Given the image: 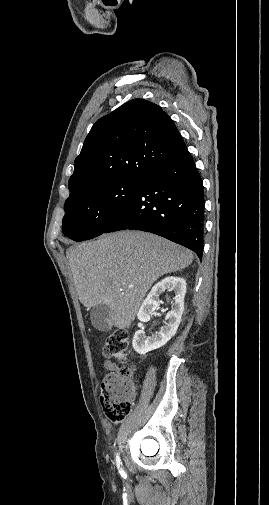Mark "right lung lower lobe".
<instances>
[{
	"instance_id": "98d812e1",
	"label": "right lung lower lobe",
	"mask_w": 269,
	"mask_h": 505,
	"mask_svg": "<svg viewBox=\"0 0 269 505\" xmlns=\"http://www.w3.org/2000/svg\"><path fill=\"white\" fill-rule=\"evenodd\" d=\"M204 187L185 150L158 165L141 181L126 207L104 233L142 230L203 255Z\"/></svg>"
}]
</instances>
